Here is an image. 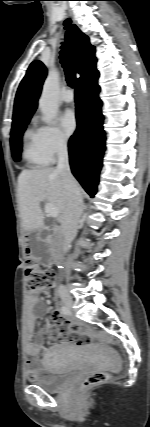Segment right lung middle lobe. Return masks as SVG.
<instances>
[{"label": "right lung middle lobe", "instance_id": "dd1d6c3e", "mask_svg": "<svg viewBox=\"0 0 150 427\" xmlns=\"http://www.w3.org/2000/svg\"><path fill=\"white\" fill-rule=\"evenodd\" d=\"M30 118L20 120L17 122H14L11 129V150H12V156L15 159V161H18L20 159V153L22 151V135L23 132L26 129L27 124L29 123Z\"/></svg>", "mask_w": 150, "mask_h": 427}]
</instances>
